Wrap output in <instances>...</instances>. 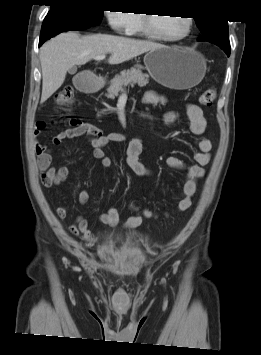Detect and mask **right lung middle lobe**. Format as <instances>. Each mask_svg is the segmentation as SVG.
Returning <instances> with one entry per match:
<instances>
[{"instance_id":"obj_1","label":"right lung middle lobe","mask_w":261,"mask_h":355,"mask_svg":"<svg viewBox=\"0 0 261 355\" xmlns=\"http://www.w3.org/2000/svg\"><path fill=\"white\" fill-rule=\"evenodd\" d=\"M68 14L76 16L86 23L96 26L101 23L103 10L90 0H63L51 4L47 16Z\"/></svg>"}]
</instances>
